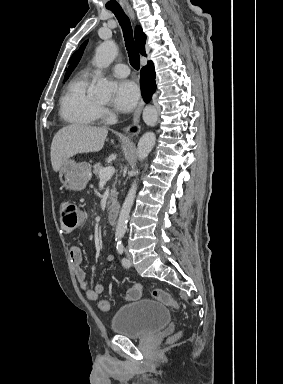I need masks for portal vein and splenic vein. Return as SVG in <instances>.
I'll list each match as a JSON object with an SVG mask.
<instances>
[{
    "label": "portal vein and splenic vein",
    "instance_id": "portal-vein-and-splenic-vein-1",
    "mask_svg": "<svg viewBox=\"0 0 283 384\" xmlns=\"http://www.w3.org/2000/svg\"><path fill=\"white\" fill-rule=\"evenodd\" d=\"M115 170L112 166H108V168H103L99 174L100 182H108L110 178H112Z\"/></svg>",
    "mask_w": 283,
    "mask_h": 384
}]
</instances>
